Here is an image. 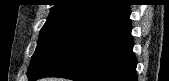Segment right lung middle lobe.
Segmentation results:
<instances>
[{
    "label": "right lung middle lobe",
    "instance_id": "obj_1",
    "mask_svg": "<svg viewBox=\"0 0 169 81\" xmlns=\"http://www.w3.org/2000/svg\"><path fill=\"white\" fill-rule=\"evenodd\" d=\"M87 21L78 17L48 19L40 31L28 75L34 73L80 26Z\"/></svg>",
    "mask_w": 169,
    "mask_h": 81
}]
</instances>
